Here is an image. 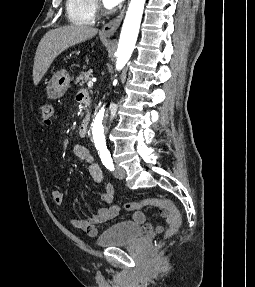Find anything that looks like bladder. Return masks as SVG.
<instances>
[{"label":"bladder","mask_w":255,"mask_h":287,"mask_svg":"<svg viewBox=\"0 0 255 287\" xmlns=\"http://www.w3.org/2000/svg\"><path fill=\"white\" fill-rule=\"evenodd\" d=\"M145 229L132 221H121L106 229L97 239L96 244L100 247H110L130 244L137 241Z\"/></svg>","instance_id":"bladder-1"}]
</instances>
